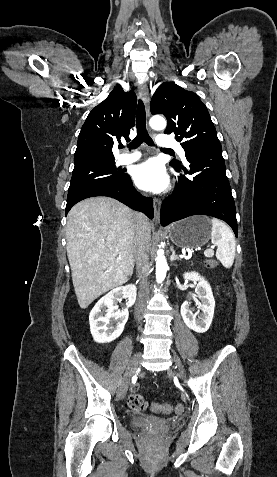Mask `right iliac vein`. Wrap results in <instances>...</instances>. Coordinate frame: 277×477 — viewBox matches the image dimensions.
<instances>
[{"instance_id": "63e3f726", "label": "right iliac vein", "mask_w": 277, "mask_h": 477, "mask_svg": "<svg viewBox=\"0 0 277 477\" xmlns=\"http://www.w3.org/2000/svg\"><path fill=\"white\" fill-rule=\"evenodd\" d=\"M142 359V354L139 352V353H136L130 360L129 364H128V367H127V370H126V373L120 383V386L118 388V392H117V396L119 399H124V397L126 396V393H127V390H128V386H129V383H130V379L131 377L133 376L134 374V371L135 369L137 368V366L139 365L140 361Z\"/></svg>"}]
</instances>
